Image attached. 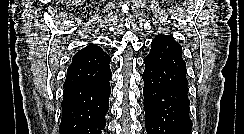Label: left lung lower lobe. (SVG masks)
I'll return each instance as SVG.
<instances>
[{
	"label": "left lung lower lobe",
	"mask_w": 244,
	"mask_h": 134,
	"mask_svg": "<svg viewBox=\"0 0 244 134\" xmlns=\"http://www.w3.org/2000/svg\"><path fill=\"white\" fill-rule=\"evenodd\" d=\"M147 134H190L187 88H166L147 71L143 73Z\"/></svg>",
	"instance_id": "obj_1"
}]
</instances>
